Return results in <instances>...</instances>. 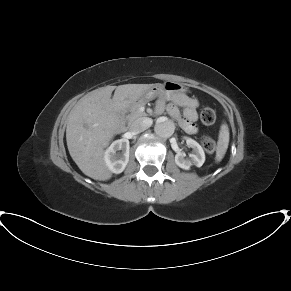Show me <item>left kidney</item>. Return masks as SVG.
I'll return each mask as SVG.
<instances>
[{"label": "left kidney", "mask_w": 291, "mask_h": 291, "mask_svg": "<svg viewBox=\"0 0 291 291\" xmlns=\"http://www.w3.org/2000/svg\"><path fill=\"white\" fill-rule=\"evenodd\" d=\"M186 144L192 148L189 158H185V153L179 151L175 155V163L184 170H189L191 166L201 167L205 162V153L203 148L192 138H185Z\"/></svg>", "instance_id": "5707ae66"}]
</instances>
